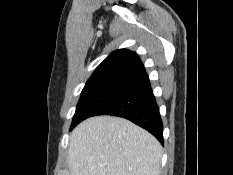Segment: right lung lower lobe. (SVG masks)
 I'll return each mask as SVG.
<instances>
[{
  "label": "right lung lower lobe",
  "instance_id": "1",
  "mask_svg": "<svg viewBox=\"0 0 233 175\" xmlns=\"http://www.w3.org/2000/svg\"><path fill=\"white\" fill-rule=\"evenodd\" d=\"M96 115L126 118L149 131L163 144V123L147 74L135 79L92 116Z\"/></svg>",
  "mask_w": 233,
  "mask_h": 175
}]
</instances>
